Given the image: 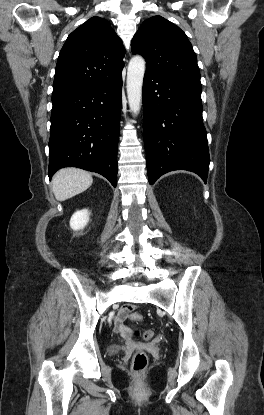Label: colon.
Listing matches in <instances>:
<instances>
[{"label":"colon","instance_id":"5ec220e1","mask_svg":"<svg viewBox=\"0 0 264 415\" xmlns=\"http://www.w3.org/2000/svg\"><path fill=\"white\" fill-rule=\"evenodd\" d=\"M129 321L131 323H139L142 320V313L138 310L129 308ZM152 332L147 331L144 334L145 339H150ZM148 366V356L144 352H136L132 360L133 372L137 377H141Z\"/></svg>","mask_w":264,"mask_h":415}]
</instances>
